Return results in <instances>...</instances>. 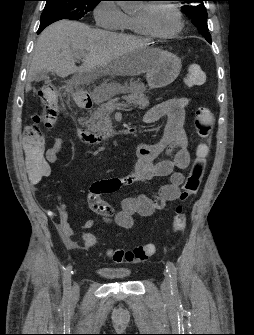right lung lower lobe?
<instances>
[{
  "label": "right lung lower lobe",
  "instance_id": "1",
  "mask_svg": "<svg viewBox=\"0 0 254 335\" xmlns=\"http://www.w3.org/2000/svg\"><path fill=\"white\" fill-rule=\"evenodd\" d=\"M55 21H58V20H47V21L41 22V23H40V26H39V29H38V31H37V34H40L41 31H42L45 27H47L48 25L52 24V23L55 22Z\"/></svg>",
  "mask_w": 254,
  "mask_h": 335
}]
</instances>
